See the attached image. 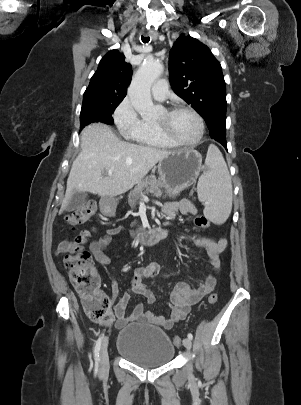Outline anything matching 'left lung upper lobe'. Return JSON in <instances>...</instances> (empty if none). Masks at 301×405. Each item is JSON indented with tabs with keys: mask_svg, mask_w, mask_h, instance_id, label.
Instances as JSON below:
<instances>
[{
	"mask_svg": "<svg viewBox=\"0 0 301 405\" xmlns=\"http://www.w3.org/2000/svg\"><path fill=\"white\" fill-rule=\"evenodd\" d=\"M170 84L204 118L211 138H226V87L210 49L190 36L179 37L169 52Z\"/></svg>",
	"mask_w": 301,
	"mask_h": 405,
	"instance_id": "obj_1",
	"label": "left lung upper lobe"
}]
</instances>
